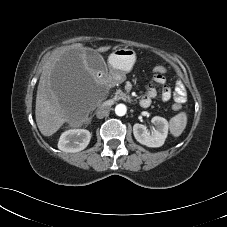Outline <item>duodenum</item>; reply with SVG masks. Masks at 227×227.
Returning <instances> with one entry per match:
<instances>
[{
	"label": "duodenum",
	"mask_w": 227,
	"mask_h": 227,
	"mask_svg": "<svg viewBox=\"0 0 227 227\" xmlns=\"http://www.w3.org/2000/svg\"><path fill=\"white\" fill-rule=\"evenodd\" d=\"M140 105L142 106V107H147V104L146 103H143L141 100H140Z\"/></svg>",
	"instance_id": "1"
}]
</instances>
